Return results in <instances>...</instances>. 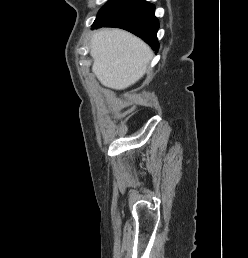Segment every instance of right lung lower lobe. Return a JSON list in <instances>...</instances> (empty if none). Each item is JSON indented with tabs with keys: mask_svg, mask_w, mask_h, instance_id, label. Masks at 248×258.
Here are the masks:
<instances>
[{
	"mask_svg": "<svg viewBox=\"0 0 248 258\" xmlns=\"http://www.w3.org/2000/svg\"><path fill=\"white\" fill-rule=\"evenodd\" d=\"M155 7L145 0H120L107 13L95 20L92 29L100 27L122 28L143 39L155 51L159 48L157 31L159 22Z\"/></svg>",
	"mask_w": 248,
	"mask_h": 258,
	"instance_id": "1",
	"label": "right lung lower lobe"
}]
</instances>
